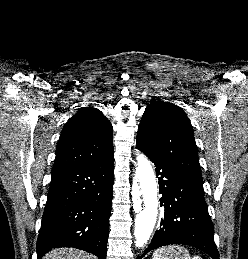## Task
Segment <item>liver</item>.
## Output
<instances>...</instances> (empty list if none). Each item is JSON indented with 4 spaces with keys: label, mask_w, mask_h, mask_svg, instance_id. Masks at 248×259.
Listing matches in <instances>:
<instances>
[{
    "label": "liver",
    "mask_w": 248,
    "mask_h": 259,
    "mask_svg": "<svg viewBox=\"0 0 248 259\" xmlns=\"http://www.w3.org/2000/svg\"><path fill=\"white\" fill-rule=\"evenodd\" d=\"M42 259H96L93 255L74 248H59L47 253Z\"/></svg>",
    "instance_id": "1"
}]
</instances>
